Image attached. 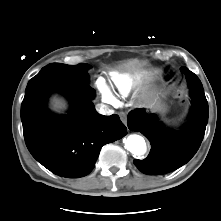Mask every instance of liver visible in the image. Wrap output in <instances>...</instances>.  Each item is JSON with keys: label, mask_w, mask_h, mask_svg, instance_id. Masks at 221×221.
I'll use <instances>...</instances> for the list:
<instances>
[{"label": "liver", "mask_w": 221, "mask_h": 221, "mask_svg": "<svg viewBox=\"0 0 221 221\" xmlns=\"http://www.w3.org/2000/svg\"><path fill=\"white\" fill-rule=\"evenodd\" d=\"M55 107H61L62 106V103L60 102V101H55V105H54Z\"/></svg>", "instance_id": "obj_1"}]
</instances>
